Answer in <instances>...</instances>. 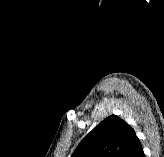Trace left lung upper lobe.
I'll use <instances>...</instances> for the list:
<instances>
[{
    "label": "left lung upper lobe",
    "mask_w": 164,
    "mask_h": 157,
    "mask_svg": "<svg viewBox=\"0 0 164 157\" xmlns=\"http://www.w3.org/2000/svg\"><path fill=\"white\" fill-rule=\"evenodd\" d=\"M135 137L130 125L111 115L85 136L71 157H124Z\"/></svg>",
    "instance_id": "left-lung-upper-lobe-1"
}]
</instances>
